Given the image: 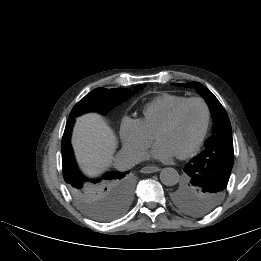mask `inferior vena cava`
<instances>
[{
	"instance_id": "obj_1",
	"label": "inferior vena cava",
	"mask_w": 261,
	"mask_h": 261,
	"mask_svg": "<svg viewBox=\"0 0 261 261\" xmlns=\"http://www.w3.org/2000/svg\"><path fill=\"white\" fill-rule=\"evenodd\" d=\"M144 153L129 148H122L114 157V165L118 170L125 171L144 160Z\"/></svg>"
}]
</instances>
